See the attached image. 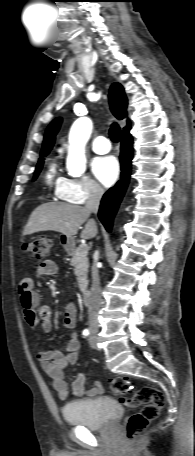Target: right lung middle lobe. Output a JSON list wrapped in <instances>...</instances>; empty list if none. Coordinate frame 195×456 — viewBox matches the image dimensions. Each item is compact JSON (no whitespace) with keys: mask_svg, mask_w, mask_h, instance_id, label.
<instances>
[{"mask_svg":"<svg viewBox=\"0 0 195 456\" xmlns=\"http://www.w3.org/2000/svg\"><path fill=\"white\" fill-rule=\"evenodd\" d=\"M43 160H44L43 158H40V159H39V162H38L37 167H36V170H35L34 179L37 178L39 172L41 171V168H42V165H43Z\"/></svg>","mask_w":195,"mask_h":456,"instance_id":"right-lung-middle-lobe-1","label":"right lung middle lobe"}]
</instances>
